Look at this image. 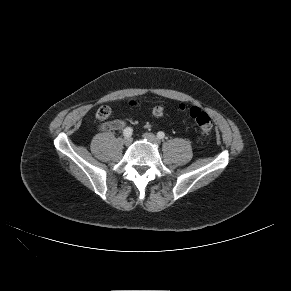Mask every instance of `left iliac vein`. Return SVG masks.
<instances>
[{
  "label": "left iliac vein",
  "instance_id": "4c4485c4",
  "mask_svg": "<svg viewBox=\"0 0 291 291\" xmlns=\"http://www.w3.org/2000/svg\"><path fill=\"white\" fill-rule=\"evenodd\" d=\"M143 137L156 145L160 143V140L152 133H145Z\"/></svg>",
  "mask_w": 291,
  "mask_h": 291
}]
</instances>
